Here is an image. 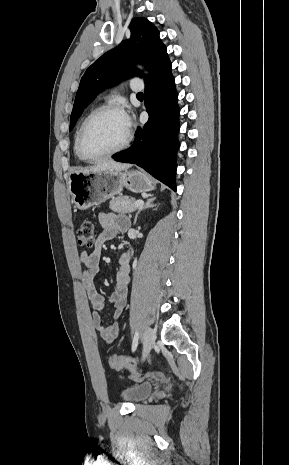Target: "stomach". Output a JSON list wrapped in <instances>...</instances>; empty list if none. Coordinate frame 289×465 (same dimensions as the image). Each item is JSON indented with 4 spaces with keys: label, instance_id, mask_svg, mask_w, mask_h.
I'll return each instance as SVG.
<instances>
[{
    "label": "stomach",
    "instance_id": "0dacf381",
    "mask_svg": "<svg viewBox=\"0 0 289 465\" xmlns=\"http://www.w3.org/2000/svg\"><path fill=\"white\" fill-rule=\"evenodd\" d=\"M124 187L140 193L153 190L155 185L148 176L136 170L74 172L68 180L72 203L79 210L100 205L121 193Z\"/></svg>",
    "mask_w": 289,
    "mask_h": 465
}]
</instances>
